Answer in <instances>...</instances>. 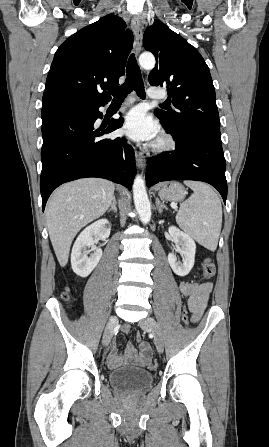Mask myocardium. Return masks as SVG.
Here are the masks:
<instances>
[{
    "mask_svg": "<svg viewBox=\"0 0 269 447\" xmlns=\"http://www.w3.org/2000/svg\"><path fill=\"white\" fill-rule=\"evenodd\" d=\"M176 147L175 138L168 132H162L151 145L152 151L158 155L166 154Z\"/></svg>",
    "mask_w": 269,
    "mask_h": 447,
    "instance_id": "f54148a6",
    "label": "myocardium"
}]
</instances>
